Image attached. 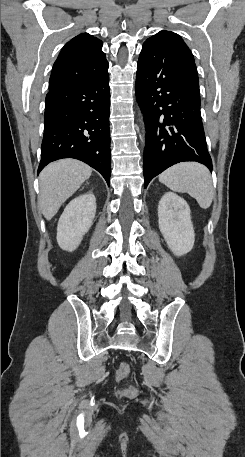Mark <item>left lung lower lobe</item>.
Segmentation results:
<instances>
[{"label": "left lung lower lobe", "mask_w": 245, "mask_h": 457, "mask_svg": "<svg viewBox=\"0 0 245 457\" xmlns=\"http://www.w3.org/2000/svg\"><path fill=\"white\" fill-rule=\"evenodd\" d=\"M135 91L146 128L144 187L179 162L196 161L212 171L200 113L199 81L172 46L160 44L141 51Z\"/></svg>", "instance_id": "left-lung-lower-lobe-1"}]
</instances>
